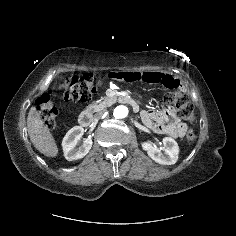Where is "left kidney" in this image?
<instances>
[{
    "instance_id": "5707ae66",
    "label": "left kidney",
    "mask_w": 236,
    "mask_h": 236,
    "mask_svg": "<svg viewBox=\"0 0 236 236\" xmlns=\"http://www.w3.org/2000/svg\"><path fill=\"white\" fill-rule=\"evenodd\" d=\"M163 145V152L156 146H153L150 142H143L142 148L147 151L150 158L159 164H175L179 155V146L177 142L171 137H164Z\"/></svg>"
}]
</instances>
